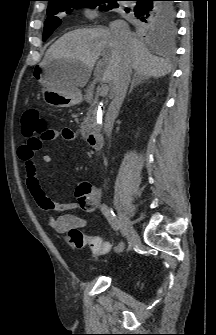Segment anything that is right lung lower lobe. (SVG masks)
<instances>
[{
  "label": "right lung lower lobe",
  "mask_w": 216,
  "mask_h": 335,
  "mask_svg": "<svg viewBox=\"0 0 216 335\" xmlns=\"http://www.w3.org/2000/svg\"><path fill=\"white\" fill-rule=\"evenodd\" d=\"M136 1V6L123 9L125 12L131 11L136 21V26L142 27L152 22H160L162 25L172 26L175 24L174 8H165L162 4L169 0H127ZM119 7V6H118ZM117 7V8H118Z\"/></svg>",
  "instance_id": "1"
}]
</instances>
